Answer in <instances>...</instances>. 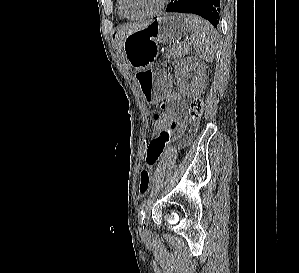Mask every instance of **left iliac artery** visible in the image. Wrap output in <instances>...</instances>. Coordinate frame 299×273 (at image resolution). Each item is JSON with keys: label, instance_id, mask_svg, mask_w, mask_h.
Here are the masks:
<instances>
[{"label": "left iliac artery", "instance_id": "obj_1", "mask_svg": "<svg viewBox=\"0 0 299 273\" xmlns=\"http://www.w3.org/2000/svg\"><path fill=\"white\" fill-rule=\"evenodd\" d=\"M147 201H144L142 203V205L140 206L139 208V213H138V217H139V220H141V222L143 223L144 222V216H145V210H146V207H147ZM144 228V226H143Z\"/></svg>", "mask_w": 299, "mask_h": 273}]
</instances>
